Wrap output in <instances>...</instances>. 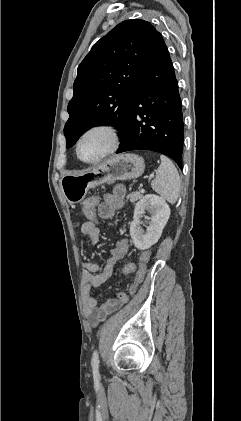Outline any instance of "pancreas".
I'll return each mask as SVG.
<instances>
[{
	"instance_id": "cf45deb5",
	"label": "pancreas",
	"mask_w": 241,
	"mask_h": 421,
	"mask_svg": "<svg viewBox=\"0 0 241 421\" xmlns=\"http://www.w3.org/2000/svg\"><path fill=\"white\" fill-rule=\"evenodd\" d=\"M142 197V194L140 192H132L129 195V200L130 202H136L137 200H139Z\"/></svg>"
}]
</instances>
